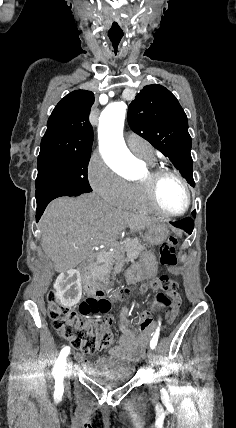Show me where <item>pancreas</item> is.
<instances>
[{"label":"pancreas","mask_w":236,"mask_h":428,"mask_svg":"<svg viewBox=\"0 0 236 428\" xmlns=\"http://www.w3.org/2000/svg\"><path fill=\"white\" fill-rule=\"evenodd\" d=\"M144 246L140 244V240L137 238H126L123 244H116L114 252L111 254H104L99 256L97 260L96 274L99 280H102V288H109L110 286V274L113 264H119L123 266V262H134L139 258L141 252H143ZM126 252L127 258H124L123 254Z\"/></svg>","instance_id":"obj_1"}]
</instances>
